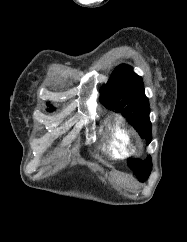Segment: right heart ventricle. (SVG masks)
Masks as SVG:
<instances>
[{
  "label": "right heart ventricle",
  "mask_w": 187,
  "mask_h": 242,
  "mask_svg": "<svg viewBox=\"0 0 187 242\" xmlns=\"http://www.w3.org/2000/svg\"><path fill=\"white\" fill-rule=\"evenodd\" d=\"M105 151L116 159L125 158L132 152L130 135L117 120L109 124Z\"/></svg>",
  "instance_id": "e07e8e85"
}]
</instances>
